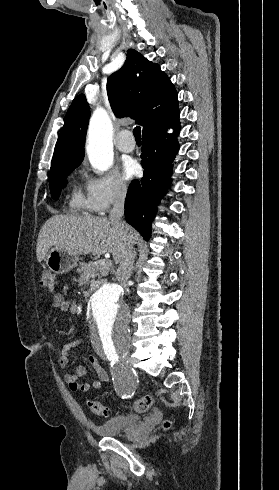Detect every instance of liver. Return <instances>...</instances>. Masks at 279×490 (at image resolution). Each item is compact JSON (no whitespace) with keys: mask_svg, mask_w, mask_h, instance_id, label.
<instances>
[{"mask_svg":"<svg viewBox=\"0 0 279 490\" xmlns=\"http://www.w3.org/2000/svg\"><path fill=\"white\" fill-rule=\"evenodd\" d=\"M128 238L138 240L139 234L126 224L124 228ZM120 228L112 226L108 218L93 216H52L42 226L36 246L38 262H43L48 250L55 246L58 250H67L71 254H112L115 264L120 262L125 244L119 236Z\"/></svg>","mask_w":279,"mask_h":490,"instance_id":"obj_1","label":"liver"}]
</instances>
